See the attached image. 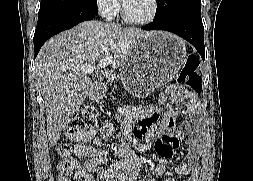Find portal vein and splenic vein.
<instances>
[{
    "label": "portal vein and splenic vein",
    "mask_w": 253,
    "mask_h": 181,
    "mask_svg": "<svg viewBox=\"0 0 253 181\" xmlns=\"http://www.w3.org/2000/svg\"><path fill=\"white\" fill-rule=\"evenodd\" d=\"M110 63H112V56L107 55L98 62V68H105ZM95 69H96V66L94 65H84L81 67L82 72L85 74H92Z\"/></svg>",
    "instance_id": "obj_1"
}]
</instances>
